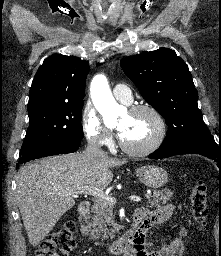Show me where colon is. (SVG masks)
Returning a JSON list of instances; mask_svg holds the SVG:
<instances>
[{
    "instance_id": "5ec220e1",
    "label": "colon",
    "mask_w": 221,
    "mask_h": 256,
    "mask_svg": "<svg viewBox=\"0 0 221 256\" xmlns=\"http://www.w3.org/2000/svg\"><path fill=\"white\" fill-rule=\"evenodd\" d=\"M190 205L195 222L203 228L208 216L207 192L203 182L198 181L192 187ZM74 233V222L67 221L40 243L35 256H68L75 247Z\"/></svg>"
}]
</instances>
